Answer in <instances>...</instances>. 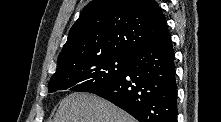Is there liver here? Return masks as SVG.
<instances>
[{"label":"liver","mask_w":221,"mask_h":122,"mask_svg":"<svg viewBox=\"0 0 221 122\" xmlns=\"http://www.w3.org/2000/svg\"><path fill=\"white\" fill-rule=\"evenodd\" d=\"M54 122H135L111 102L89 93H72L60 101Z\"/></svg>","instance_id":"1"}]
</instances>
